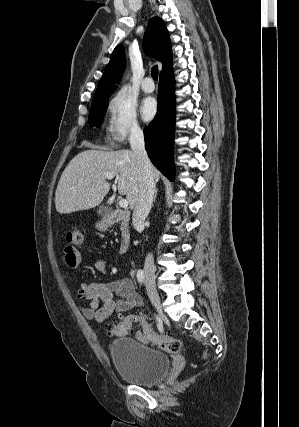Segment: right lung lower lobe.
Segmentation results:
<instances>
[{"mask_svg": "<svg viewBox=\"0 0 299 427\" xmlns=\"http://www.w3.org/2000/svg\"><path fill=\"white\" fill-rule=\"evenodd\" d=\"M175 80L173 70L160 75L158 110L154 120L144 129L145 148L152 163L173 181L175 131Z\"/></svg>", "mask_w": 299, "mask_h": 427, "instance_id": "1", "label": "right lung lower lobe"}]
</instances>
